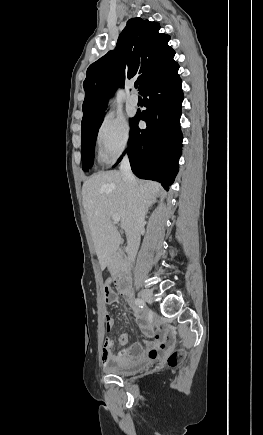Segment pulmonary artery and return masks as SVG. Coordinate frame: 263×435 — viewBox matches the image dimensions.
I'll return each mask as SVG.
<instances>
[{"label":"pulmonary artery","mask_w":263,"mask_h":435,"mask_svg":"<svg viewBox=\"0 0 263 435\" xmlns=\"http://www.w3.org/2000/svg\"><path fill=\"white\" fill-rule=\"evenodd\" d=\"M138 96L135 94H131L128 98V102L129 104H131L132 106H136L138 104Z\"/></svg>","instance_id":"e3ab8cb5"}]
</instances>
